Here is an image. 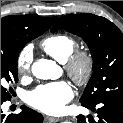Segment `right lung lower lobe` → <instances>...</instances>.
Listing matches in <instances>:
<instances>
[{"label":"right lung lower lobe","instance_id":"obj_1","mask_svg":"<svg viewBox=\"0 0 123 123\" xmlns=\"http://www.w3.org/2000/svg\"><path fill=\"white\" fill-rule=\"evenodd\" d=\"M1 101V105H2ZM22 111L18 114H9L6 116L1 110V123H42L43 116L40 113L21 106Z\"/></svg>","mask_w":123,"mask_h":123}]
</instances>
